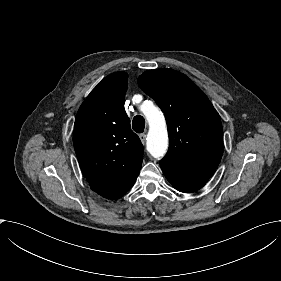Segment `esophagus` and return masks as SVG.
<instances>
[{
	"label": "esophagus",
	"instance_id": "esophagus-1",
	"mask_svg": "<svg viewBox=\"0 0 281 281\" xmlns=\"http://www.w3.org/2000/svg\"><path fill=\"white\" fill-rule=\"evenodd\" d=\"M139 138H140L141 142L144 144V143H145V140H146V134H145V133H141V134L139 135Z\"/></svg>",
	"mask_w": 281,
	"mask_h": 281
}]
</instances>
